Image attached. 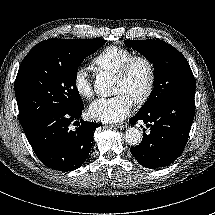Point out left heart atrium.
Wrapping results in <instances>:
<instances>
[{"instance_id": "obj_1", "label": "left heart atrium", "mask_w": 215, "mask_h": 215, "mask_svg": "<svg viewBox=\"0 0 215 215\" xmlns=\"http://www.w3.org/2000/svg\"><path fill=\"white\" fill-rule=\"evenodd\" d=\"M133 107L132 99L126 94L112 98L98 99L89 108L92 119L100 122H118L124 119Z\"/></svg>"}]
</instances>
